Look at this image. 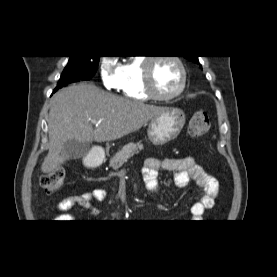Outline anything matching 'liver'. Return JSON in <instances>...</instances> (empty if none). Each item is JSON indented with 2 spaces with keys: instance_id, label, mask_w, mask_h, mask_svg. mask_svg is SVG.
I'll return each mask as SVG.
<instances>
[{
  "instance_id": "liver-1",
  "label": "liver",
  "mask_w": 277,
  "mask_h": 277,
  "mask_svg": "<svg viewBox=\"0 0 277 277\" xmlns=\"http://www.w3.org/2000/svg\"><path fill=\"white\" fill-rule=\"evenodd\" d=\"M165 109L117 97L91 84L81 83L58 91L49 111V152L42 163V172H52L69 158L65 153L67 141L120 139L138 131ZM92 121L98 123L95 129Z\"/></svg>"
}]
</instances>
